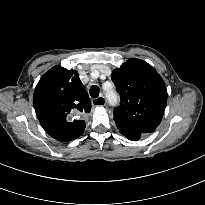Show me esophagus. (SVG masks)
Wrapping results in <instances>:
<instances>
[{"label": "esophagus", "mask_w": 205, "mask_h": 205, "mask_svg": "<svg viewBox=\"0 0 205 205\" xmlns=\"http://www.w3.org/2000/svg\"><path fill=\"white\" fill-rule=\"evenodd\" d=\"M105 103H106V100L104 96H99L98 98H95L92 100V105L95 107L104 106Z\"/></svg>", "instance_id": "esophagus-1"}]
</instances>
